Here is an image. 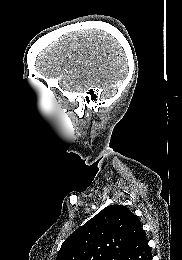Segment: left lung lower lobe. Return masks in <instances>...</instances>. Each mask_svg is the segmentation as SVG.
Segmentation results:
<instances>
[{
	"mask_svg": "<svg viewBox=\"0 0 182 260\" xmlns=\"http://www.w3.org/2000/svg\"><path fill=\"white\" fill-rule=\"evenodd\" d=\"M121 260H152L151 249L142 227L132 238Z\"/></svg>",
	"mask_w": 182,
	"mask_h": 260,
	"instance_id": "1",
	"label": "left lung lower lobe"
}]
</instances>
